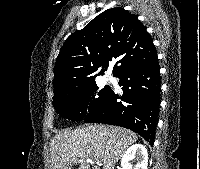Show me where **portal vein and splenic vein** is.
<instances>
[{"instance_id": "obj_1", "label": "portal vein and splenic vein", "mask_w": 200, "mask_h": 169, "mask_svg": "<svg viewBox=\"0 0 200 169\" xmlns=\"http://www.w3.org/2000/svg\"><path fill=\"white\" fill-rule=\"evenodd\" d=\"M96 163H98V164L100 165V162H99V161H97Z\"/></svg>"}]
</instances>
